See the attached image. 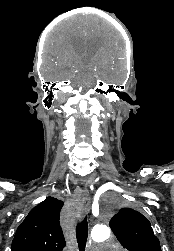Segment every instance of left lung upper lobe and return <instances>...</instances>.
<instances>
[{"label": "left lung upper lobe", "instance_id": "obj_1", "mask_svg": "<svg viewBox=\"0 0 174 251\" xmlns=\"http://www.w3.org/2000/svg\"><path fill=\"white\" fill-rule=\"evenodd\" d=\"M110 227L123 247L129 251H161L150 222L133 209H122L112 218Z\"/></svg>", "mask_w": 174, "mask_h": 251}]
</instances>
